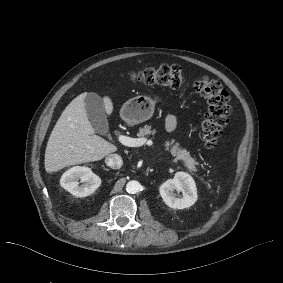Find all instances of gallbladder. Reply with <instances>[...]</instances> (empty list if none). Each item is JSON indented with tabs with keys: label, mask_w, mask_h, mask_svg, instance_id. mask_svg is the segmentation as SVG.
Listing matches in <instances>:
<instances>
[{
	"label": "gallbladder",
	"mask_w": 283,
	"mask_h": 283,
	"mask_svg": "<svg viewBox=\"0 0 283 283\" xmlns=\"http://www.w3.org/2000/svg\"><path fill=\"white\" fill-rule=\"evenodd\" d=\"M87 117L90 119L95 131L99 134H106L109 126L105 114L103 99L96 93H87L85 99Z\"/></svg>",
	"instance_id": "gallbladder-1"
}]
</instances>
